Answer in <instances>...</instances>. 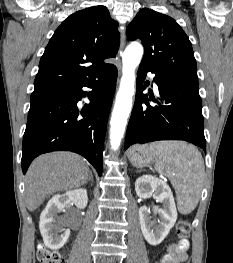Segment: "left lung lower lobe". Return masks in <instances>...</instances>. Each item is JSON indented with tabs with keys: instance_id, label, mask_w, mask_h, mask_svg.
Returning <instances> with one entry per match:
<instances>
[{
	"instance_id": "obj_1",
	"label": "left lung lower lobe",
	"mask_w": 233,
	"mask_h": 263,
	"mask_svg": "<svg viewBox=\"0 0 233 263\" xmlns=\"http://www.w3.org/2000/svg\"><path fill=\"white\" fill-rule=\"evenodd\" d=\"M147 72L155 74L159 101L142 93ZM149 100L157 102L158 105L151 106ZM157 140H185L206 152L198 81L165 75L140 64L135 103L126 132L125 150L132 144Z\"/></svg>"
}]
</instances>
